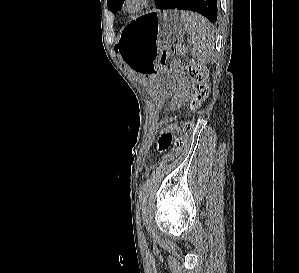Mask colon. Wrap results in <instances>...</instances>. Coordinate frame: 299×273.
Instances as JSON below:
<instances>
[{
	"instance_id": "1",
	"label": "colon",
	"mask_w": 299,
	"mask_h": 273,
	"mask_svg": "<svg viewBox=\"0 0 299 273\" xmlns=\"http://www.w3.org/2000/svg\"><path fill=\"white\" fill-rule=\"evenodd\" d=\"M183 52V45L179 43L167 44L163 46L160 57L161 64H169L177 82L175 97L169 105L171 112L176 111L185 101H188L191 110H195L203 103L208 94V86L205 83V67L198 62L188 61L185 73L182 64L176 59ZM189 81L194 83L193 87H190ZM192 127L193 124L191 122L183 124L181 135L175 138L171 153L163 159L161 165L173 160L184 149L192 132Z\"/></svg>"
}]
</instances>
